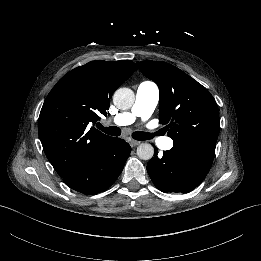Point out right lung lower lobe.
Segmentation results:
<instances>
[{
	"label": "right lung lower lobe",
	"mask_w": 261,
	"mask_h": 261,
	"mask_svg": "<svg viewBox=\"0 0 261 261\" xmlns=\"http://www.w3.org/2000/svg\"><path fill=\"white\" fill-rule=\"evenodd\" d=\"M130 151L128 143L112 137L98 156L67 174L63 181L70 188L84 194L103 192L120 175Z\"/></svg>",
	"instance_id": "98d812e1"
}]
</instances>
